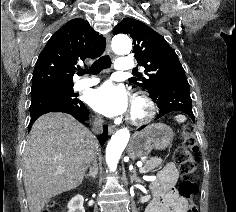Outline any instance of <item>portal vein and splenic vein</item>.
Listing matches in <instances>:
<instances>
[{"label":"portal vein and splenic vein","instance_id":"18ae733b","mask_svg":"<svg viewBox=\"0 0 236 212\" xmlns=\"http://www.w3.org/2000/svg\"><path fill=\"white\" fill-rule=\"evenodd\" d=\"M137 166L139 167V171L142 172L143 170L142 163H138ZM59 171H63V170L59 169Z\"/></svg>","mask_w":236,"mask_h":212}]
</instances>
